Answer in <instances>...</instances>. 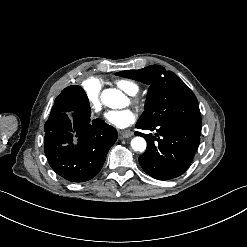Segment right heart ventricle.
Here are the masks:
<instances>
[{
  "label": "right heart ventricle",
  "mask_w": 247,
  "mask_h": 247,
  "mask_svg": "<svg viewBox=\"0 0 247 247\" xmlns=\"http://www.w3.org/2000/svg\"><path fill=\"white\" fill-rule=\"evenodd\" d=\"M121 86H122L125 90H127V91H129V92H132V91H133V89L128 88V86H127V84H126L125 82H122V83H121Z\"/></svg>",
  "instance_id": "1"
}]
</instances>
